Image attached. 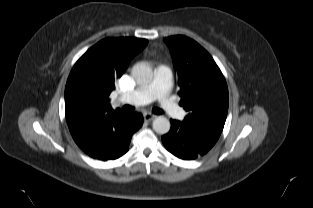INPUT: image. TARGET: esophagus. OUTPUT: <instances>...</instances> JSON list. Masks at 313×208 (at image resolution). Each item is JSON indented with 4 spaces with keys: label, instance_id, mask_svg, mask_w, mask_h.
Wrapping results in <instances>:
<instances>
[{
    "label": "esophagus",
    "instance_id": "1",
    "mask_svg": "<svg viewBox=\"0 0 313 208\" xmlns=\"http://www.w3.org/2000/svg\"><path fill=\"white\" fill-rule=\"evenodd\" d=\"M143 117H144V120H145V121H151V120H153L154 118H156V115L151 114V113H144V114H143Z\"/></svg>",
    "mask_w": 313,
    "mask_h": 208
}]
</instances>
